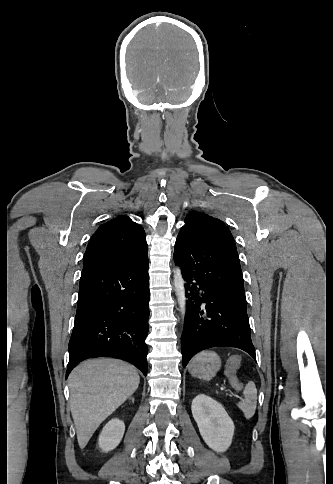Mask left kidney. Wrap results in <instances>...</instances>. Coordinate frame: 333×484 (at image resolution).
Listing matches in <instances>:
<instances>
[{
    "label": "left kidney",
    "instance_id": "left-kidney-1",
    "mask_svg": "<svg viewBox=\"0 0 333 484\" xmlns=\"http://www.w3.org/2000/svg\"><path fill=\"white\" fill-rule=\"evenodd\" d=\"M191 409L205 443L216 452H225L232 443L234 424L222 405L199 394L193 399Z\"/></svg>",
    "mask_w": 333,
    "mask_h": 484
}]
</instances>
